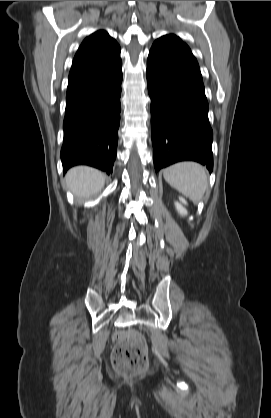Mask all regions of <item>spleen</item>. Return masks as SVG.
I'll list each match as a JSON object with an SVG mask.
<instances>
[{"label": "spleen", "mask_w": 271, "mask_h": 418, "mask_svg": "<svg viewBox=\"0 0 271 418\" xmlns=\"http://www.w3.org/2000/svg\"><path fill=\"white\" fill-rule=\"evenodd\" d=\"M165 180L194 203L200 202L208 187L206 169L196 162H179L163 171Z\"/></svg>", "instance_id": "obj_1"}]
</instances>
